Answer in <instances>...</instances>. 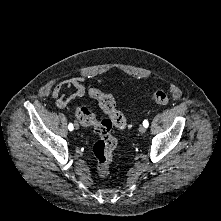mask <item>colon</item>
I'll list each match as a JSON object with an SVG mask.
<instances>
[{
  "label": "colon",
  "instance_id": "obj_1",
  "mask_svg": "<svg viewBox=\"0 0 221 221\" xmlns=\"http://www.w3.org/2000/svg\"><path fill=\"white\" fill-rule=\"evenodd\" d=\"M89 95L99 101L101 109L109 119L98 121L94 114L85 107L76 109L77 120L87 126H92L99 134V140L93 146V153L97 159V171L101 177L109 173L113 158V152L116 148V139L111 135L112 126L119 129H127L131 126L128 119L117 109L114 98L98 89H90ZM151 99L160 105H167L170 101L167 93L161 90L154 91Z\"/></svg>",
  "mask_w": 221,
  "mask_h": 221
}]
</instances>
